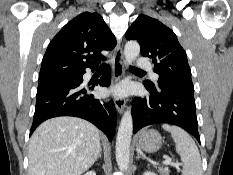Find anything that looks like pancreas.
I'll list each match as a JSON object with an SVG mask.
<instances>
[{
    "label": "pancreas",
    "mask_w": 233,
    "mask_h": 175,
    "mask_svg": "<svg viewBox=\"0 0 233 175\" xmlns=\"http://www.w3.org/2000/svg\"><path fill=\"white\" fill-rule=\"evenodd\" d=\"M158 171H159L162 175H169V169H168V168H159Z\"/></svg>",
    "instance_id": "pancreas-1"
}]
</instances>
